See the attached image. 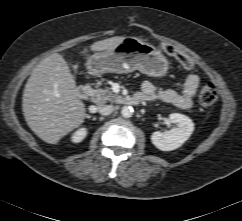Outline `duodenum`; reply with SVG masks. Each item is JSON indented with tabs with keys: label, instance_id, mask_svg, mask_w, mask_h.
Returning <instances> with one entry per match:
<instances>
[{
	"label": "duodenum",
	"instance_id": "410a0bca",
	"mask_svg": "<svg viewBox=\"0 0 242 221\" xmlns=\"http://www.w3.org/2000/svg\"><path fill=\"white\" fill-rule=\"evenodd\" d=\"M77 96L82 100H86L90 96V89L86 86H80L77 89ZM143 99L140 96H125L122 97L121 103L127 106H135L140 104Z\"/></svg>",
	"mask_w": 242,
	"mask_h": 221
}]
</instances>
